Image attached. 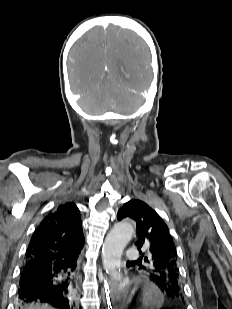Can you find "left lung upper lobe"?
Here are the masks:
<instances>
[{
    "mask_svg": "<svg viewBox=\"0 0 232 309\" xmlns=\"http://www.w3.org/2000/svg\"><path fill=\"white\" fill-rule=\"evenodd\" d=\"M124 218L136 221L135 245L142 254L138 260L140 268L147 269L143 264L149 265L150 278L167 298H182L177 250L165 222L145 202L134 199L118 211L117 219Z\"/></svg>",
    "mask_w": 232,
    "mask_h": 309,
    "instance_id": "5c2ea615",
    "label": "left lung upper lobe"
}]
</instances>
